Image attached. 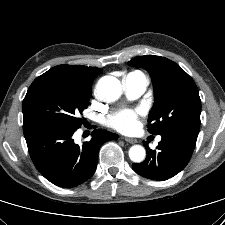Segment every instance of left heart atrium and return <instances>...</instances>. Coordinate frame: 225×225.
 <instances>
[{
	"label": "left heart atrium",
	"mask_w": 225,
	"mask_h": 225,
	"mask_svg": "<svg viewBox=\"0 0 225 225\" xmlns=\"http://www.w3.org/2000/svg\"><path fill=\"white\" fill-rule=\"evenodd\" d=\"M142 114L139 109H121L109 117V124L121 132H130L138 126V117Z\"/></svg>",
	"instance_id": "obj_1"
}]
</instances>
